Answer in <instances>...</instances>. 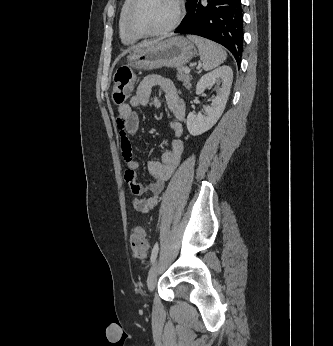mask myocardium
<instances>
[{
  "mask_svg": "<svg viewBox=\"0 0 333 346\" xmlns=\"http://www.w3.org/2000/svg\"><path fill=\"white\" fill-rule=\"evenodd\" d=\"M141 2H142V0H133L132 4L128 10L127 16H126L127 30L135 36H138V37H155V36L165 35L171 31H173L180 24V22L183 18L184 1L183 0H174L176 11H175L174 19L170 23V25H168L167 27H165L161 30H157V31L142 30V29L138 28L134 23L135 12H136V10H137V8Z\"/></svg>",
  "mask_w": 333,
  "mask_h": 346,
  "instance_id": "1",
  "label": "myocardium"
}]
</instances>
